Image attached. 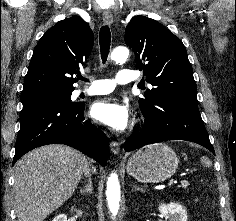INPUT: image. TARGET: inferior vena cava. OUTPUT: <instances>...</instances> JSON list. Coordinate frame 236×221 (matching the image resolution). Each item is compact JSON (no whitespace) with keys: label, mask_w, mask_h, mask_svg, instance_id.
<instances>
[{"label":"inferior vena cava","mask_w":236,"mask_h":221,"mask_svg":"<svg viewBox=\"0 0 236 221\" xmlns=\"http://www.w3.org/2000/svg\"><path fill=\"white\" fill-rule=\"evenodd\" d=\"M89 170H90V169H89V166L87 165V166H86V169H85V172H84V174H85L86 176L89 175Z\"/></svg>","instance_id":"1"}]
</instances>
